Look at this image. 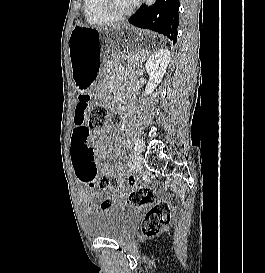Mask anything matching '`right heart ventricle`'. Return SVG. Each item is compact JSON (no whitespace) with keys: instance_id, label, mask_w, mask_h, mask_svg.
Instances as JSON below:
<instances>
[{"instance_id":"obj_1","label":"right heart ventricle","mask_w":265,"mask_h":273,"mask_svg":"<svg viewBox=\"0 0 265 273\" xmlns=\"http://www.w3.org/2000/svg\"><path fill=\"white\" fill-rule=\"evenodd\" d=\"M83 12L87 23L90 25L104 26L113 23L102 13L100 0H84Z\"/></svg>"}]
</instances>
